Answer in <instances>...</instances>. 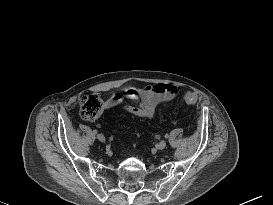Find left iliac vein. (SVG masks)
I'll return each mask as SVG.
<instances>
[{"instance_id": "left-iliac-vein-1", "label": "left iliac vein", "mask_w": 273, "mask_h": 205, "mask_svg": "<svg viewBox=\"0 0 273 205\" xmlns=\"http://www.w3.org/2000/svg\"><path fill=\"white\" fill-rule=\"evenodd\" d=\"M166 147V141L165 140H161L157 145L156 148L159 150H162Z\"/></svg>"}]
</instances>
